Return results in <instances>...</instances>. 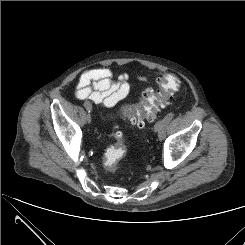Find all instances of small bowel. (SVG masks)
I'll return each instance as SVG.
<instances>
[{
  "label": "small bowel",
  "mask_w": 245,
  "mask_h": 245,
  "mask_svg": "<svg viewBox=\"0 0 245 245\" xmlns=\"http://www.w3.org/2000/svg\"><path fill=\"white\" fill-rule=\"evenodd\" d=\"M132 83L127 74L112 80V71L107 67H98L85 71L79 78L75 96L80 100H89L103 107H113L131 91Z\"/></svg>",
  "instance_id": "obj_1"
}]
</instances>
